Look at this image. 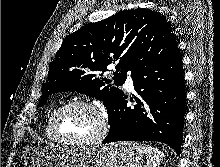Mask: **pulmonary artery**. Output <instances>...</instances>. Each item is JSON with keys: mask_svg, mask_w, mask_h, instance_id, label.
<instances>
[{"mask_svg": "<svg viewBox=\"0 0 220 167\" xmlns=\"http://www.w3.org/2000/svg\"><path fill=\"white\" fill-rule=\"evenodd\" d=\"M125 88L128 90V91H132L133 90V80L131 77H128L126 82H125Z\"/></svg>", "mask_w": 220, "mask_h": 167, "instance_id": "e3ab8cb5", "label": "pulmonary artery"}]
</instances>
